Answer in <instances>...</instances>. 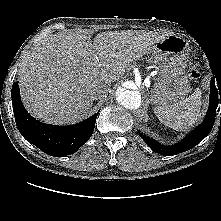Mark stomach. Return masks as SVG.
<instances>
[{"label":"stomach","mask_w":221,"mask_h":221,"mask_svg":"<svg viewBox=\"0 0 221 221\" xmlns=\"http://www.w3.org/2000/svg\"><path fill=\"white\" fill-rule=\"evenodd\" d=\"M159 66V76L151 90L150 101L157 107L177 103L190 91L186 67L190 55L188 41L178 35H168L152 47Z\"/></svg>","instance_id":"obj_1"}]
</instances>
